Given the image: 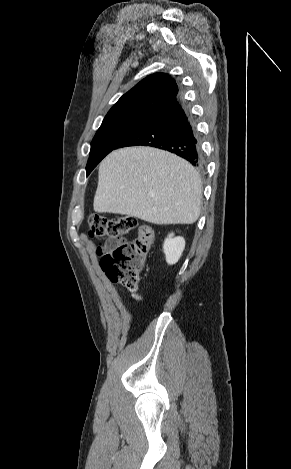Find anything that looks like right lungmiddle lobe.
<instances>
[{"instance_id":"dd1d6c3e","label":"right lung middle lobe","mask_w":291,"mask_h":469,"mask_svg":"<svg viewBox=\"0 0 291 469\" xmlns=\"http://www.w3.org/2000/svg\"><path fill=\"white\" fill-rule=\"evenodd\" d=\"M150 116L152 114L140 111L106 115L91 143L90 157L86 166L87 175L109 152Z\"/></svg>"}]
</instances>
